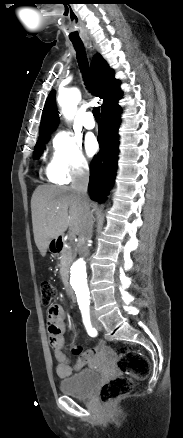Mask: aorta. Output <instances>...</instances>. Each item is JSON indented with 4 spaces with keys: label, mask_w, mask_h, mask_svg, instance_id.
<instances>
[{
    "label": "aorta",
    "mask_w": 183,
    "mask_h": 438,
    "mask_svg": "<svg viewBox=\"0 0 183 438\" xmlns=\"http://www.w3.org/2000/svg\"><path fill=\"white\" fill-rule=\"evenodd\" d=\"M80 97L81 95L77 88L60 90L58 100L65 118L72 119L74 117ZM69 283L78 304L80 306L89 304L90 286L87 276V265L83 259H78L73 264Z\"/></svg>",
    "instance_id": "obj_1"
}]
</instances>
